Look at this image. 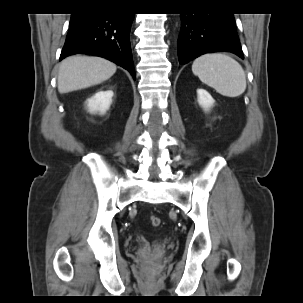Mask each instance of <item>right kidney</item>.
Listing matches in <instances>:
<instances>
[{"label":"right kidney","mask_w":303,"mask_h":303,"mask_svg":"<svg viewBox=\"0 0 303 303\" xmlns=\"http://www.w3.org/2000/svg\"><path fill=\"white\" fill-rule=\"evenodd\" d=\"M114 93L112 90L98 91L93 97L87 100V107L90 113L104 114L112 102Z\"/></svg>","instance_id":"obj_1"}]
</instances>
